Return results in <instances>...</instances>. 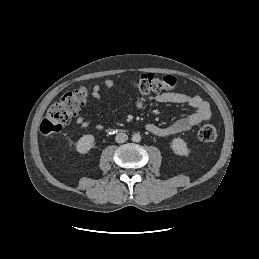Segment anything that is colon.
Masks as SVG:
<instances>
[{
  "mask_svg": "<svg viewBox=\"0 0 259 259\" xmlns=\"http://www.w3.org/2000/svg\"><path fill=\"white\" fill-rule=\"evenodd\" d=\"M135 88L143 93H156L174 90L177 86V78L171 75L158 78L153 74L142 75L135 83ZM88 98V88L83 86L66 93L63 97L50 106L48 112L40 124V131L44 135L60 133L70 120L79 115ZM216 129L207 124L198 131L201 141L211 142L216 138Z\"/></svg>",
  "mask_w": 259,
  "mask_h": 259,
  "instance_id": "1",
  "label": "colon"
}]
</instances>
